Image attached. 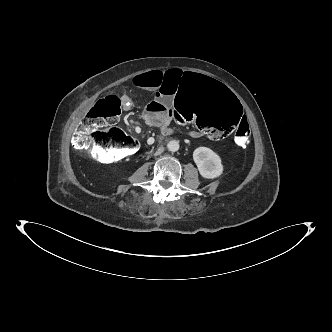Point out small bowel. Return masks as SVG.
Masks as SVG:
<instances>
[{
	"label": "small bowel",
	"mask_w": 332,
	"mask_h": 332,
	"mask_svg": "<svg viewBox=\"0 0 332 332\" xmlns=\"http://www.w3.org/2000/svg\"><path fill=\"white\" fill-rule=\"evenodd\" d=\"M184 77L180 70H154L137 75L133 84L142 89L153 91L154 99L149 102L143 112V119L146 124L157 128L167 127L172 118V104L175 96V89L179 81ZM124 109L130 108L129 98H124ZM193 138H201L204 135L197 130L189 131Z\"/></svg>",
	"instance_id": "small-bowel-1"
}]
</instances>
